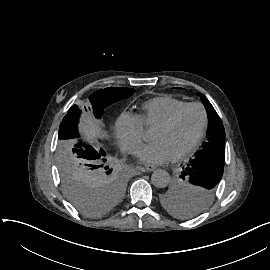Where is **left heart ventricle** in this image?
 <instances>
[{
	"mask_svg": "<svg viewBox=\"0 0 270 270\" xmlns=\"http://www.w3.org/2000/svg\"><path fill=\"white\" fill-rule=\"evenodd\" d=\"M201 120V112L191 108L182 114L173 127L157 126L151 135V140L169 143L178 154L195 140L200 130Z\"/></svg>",
	"mask_w": 270,
	"mask_h": 270,
	"instance_id": "obj_1",
	"label": "left heart ventricle"
}]
</instances>
